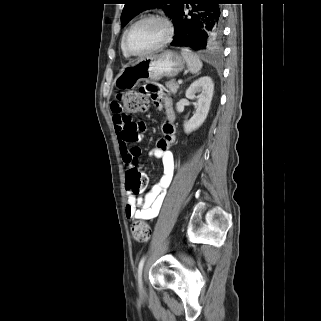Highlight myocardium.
<instances>
[{"label": "myocardium", "mask_w": 321, "mask_h": 321, "mask_svg": "<svg viewBox=\"0 0 321 321\" xmlns=\"http://www.w3.org/2000/svg\"><path fill=\"white\" fill-rule=\"evenodd\" d=\"M146 20H156L160 22L164 27V32H165L164 37L158 44H156L155 46L143 52H139V53L131 52L127 47L128 34L136 25ZM173 37H174V28L170 23V21L165 16L158 13H148L139 17L125 30L122 37V48L124 52L130 57H142V56L154 53L156 51H159L162 48L166 47L169 43H171V41L173 40Z\"/></svg>", "instance_id": "f54148a6"}]
</instances>
